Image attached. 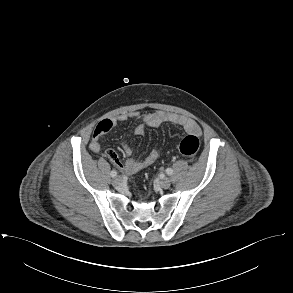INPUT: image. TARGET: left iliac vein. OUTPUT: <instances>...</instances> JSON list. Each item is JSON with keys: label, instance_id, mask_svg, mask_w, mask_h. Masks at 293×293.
I'll list each match as a JSON object with an SVG mask.
<instances>
[{"label": "left iliac vein", "instance_id": "1", "mask_svg": "<svg viewBox=\"0 0 293 293\" xmlns=\"http://www.w3.org/2000/svg\"><path fill=\"white\" fill-rule=\"evenodd\" d=\"M159 185H160L163 189H167V188L170 187V185H171V181L169 180V178L164 177V178H161V179L159 180Z\"/></svg>", "mask_w": 293, "mask_h": 293}]
</instances>
